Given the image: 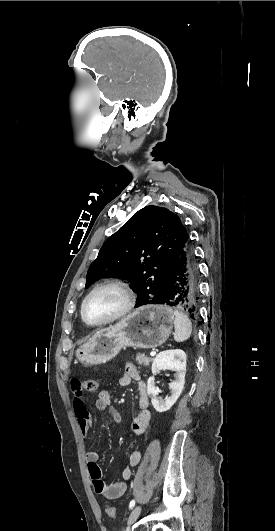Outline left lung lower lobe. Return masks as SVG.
Here are the masks:
<instances>
[{"instance_id": "left-lung-lower-lobe-1", "label": "left lung lower lobe", "mask_w": 275, "mask_h": 531, "mask_svg": "<svg viewBox=\"0 0 275 531\" xmlns=\"http://www.w3.org/2000/svg\"><path fill=\"white\" fill-rule=\"evenodd\" d=\"M199 270L193 246L188 238L182 248L163 298L155 304H164L188 312L192 318L199 305Z\"/></svg>"}]
</instances>
